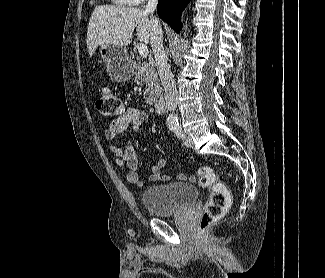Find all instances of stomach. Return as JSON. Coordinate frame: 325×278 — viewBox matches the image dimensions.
Wrapping results in <instances>:
<instances>
[{"label":"stomach","instance_id":"stomach-1","mask_svg":"<svg viewBox=\"0 0 325 278\" xmlns=\"http://www.w3.org/2000/svg\"><path fill=\"white\" fill-rule=\"evenodd\" d=\"M100 54L112 79L126 82L132 78L134 69L125 46L103 44Z\"/></svg>","mask_w":325,"mask_h":278}]
</instances>
